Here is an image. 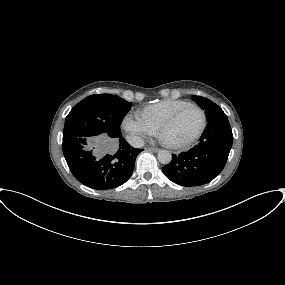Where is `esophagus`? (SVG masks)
<instances>
[{
    "mask_svg": "<svg viewBox=\"0 0 285 285\" xmlns=\"http://www.w3.org/2000/svg\"><path fill=\"white\" fill-rule=\"evenodd\" d=\"M147 151H154V152H157L158 149L157 148H154V147H147L146 148Z\"/></svg>",
    "mask_w": 285,
    "mask_h": 285,
    "instance_id": "obj_1",
    "label": "esophagus"
}]
</instances>
